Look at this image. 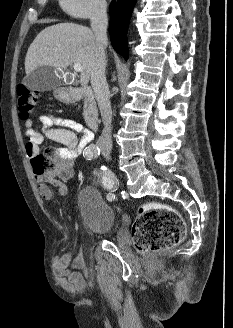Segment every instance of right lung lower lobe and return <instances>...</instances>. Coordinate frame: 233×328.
Listing matches in <instances>:
<instances>
[{"label": "right lung lower lobe", "mask_w": 233, "mask_h": 328, "mask_svg": "<svg viewBox=\"0 0 233 328\" xmlns=\"http://www.w3.org/2000/svg\"><path fill=\"white\" fill-rule=\"evenodd\" d=\"M135 3L136 0H118L109 7L111 43L125 59L128 58L126 33Z\"/></svg>", "instance_id": "98d812e1"}]
</instances>
